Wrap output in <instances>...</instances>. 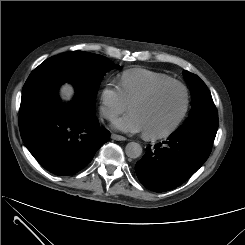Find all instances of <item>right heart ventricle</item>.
<instances>
[{"mask_svg": "<svg viewBox=\"0 0 245 245\" xmlns=\"http://www.w3.org/2000/svg\"><path fill=\"white\" fill-rule=\"evenodd\" d=\"M173 80L172 77L144 68L125 70L119 77V89L127 104L155 84Z\"/></svg>", "mask_w": 245, "mask_h": 245, "instance_id": "right-heart-ventricle-1", "label": "right heart ventricle"}]
</instances>
